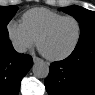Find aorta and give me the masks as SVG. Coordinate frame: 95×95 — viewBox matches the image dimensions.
<instances>
[{
    "label": "aorta",
    "mask_w": 95,
    "mask_h": 95,
    "mask_svg": "<svg viewBox=\"0 0 95 95\" xmlns=\"http://www.w3.org/2000/svg\"><path fill=\"white\" fill-rule=\"evenodd\" d=\"M32 71L37 78H46L49 74V65L44 61L35 62Z\"/></svg>",
    "instance_id": "obj_1"
}]
</instances>
